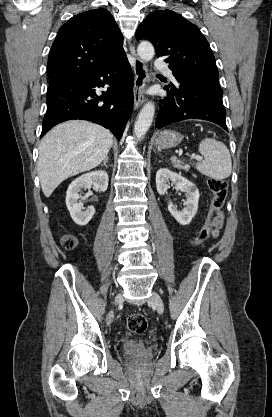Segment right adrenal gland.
Instances as JSON below:
<instances>
[{
  "mask_svg": "<svg viewBox=\"0 0 272 417\" xmlns=\"http://www.w3.org/2000/svg\"><path fill=\"white\" fill-rule=\"evenodd\" d=\"M108 160H109V158H108V157H106V158L103 160V164H102V165H104L106 168L108 167V166H107Z\"/></svg>",
  "mask_w": 272,
  "mask_h": 417,
  "instance_id": "right-adrenal-gland-1",
  "label": "right adrenal gland"
}]
</instances>
